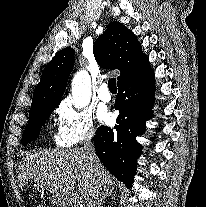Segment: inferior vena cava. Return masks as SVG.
Segmentation results:
<instances>
[{
  "label": "inferior vena cava",
  "mask_w": 206,
  "mask_h": 207,
  "mask_svg": "<svg viewBox=\"0 0 206 207\" xmlns=\"http://www.w3.org/2000/svg\"><path fill=\"white\" fill-rule=\"evenodd\" d=\"M92 137H93V133L88 136L84 144V151L85 154L87 155L90 166L95 170L96 175H99V163L95 155L94 146L91 142ZM101 191H102V186L100 184L99 179L96 178V180H94V195L92 199L88 201V207H101L100 204V199H101L100 197L102 193Z\"/></svg>",
  "instance_id": "1"
}]
</instances>
